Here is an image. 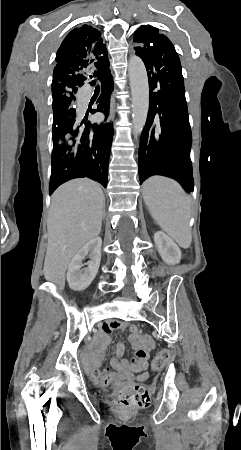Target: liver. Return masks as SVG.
<instances>
[{"label": "liver", "mask_w": 241, "mask_h": 450, "mask_svg": "<svg viewBox=\"0 0 241 450\" xmlns=\"http://www.w3.org/2000/svg\"><path fill=\"white\" fill-rule=\"evenodd\" d=\"M51 198L43 272L48 282H55L62 290L73 256L101 232L105 198L99 184L88 178L62 184Z\"/></svg>", "instance_id": "liver-1"}]
</instances>
